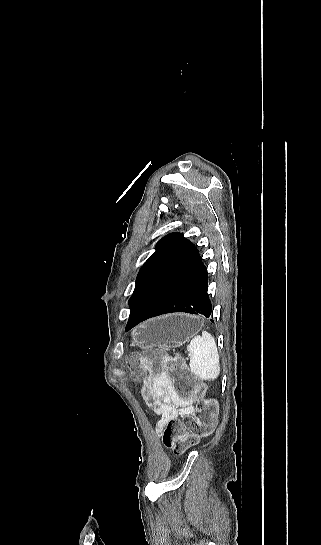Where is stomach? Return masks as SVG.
I'll return each mask as SVG.
<instances>
[{"mask_svg": "<svg viewBox=\"0 0 321 545\" xmlns=\"http://www.w3.org/2000/svg\"><path fill=\"white\" fill-rule=\"evenodd\" d=\"M202 319L174 313L164 315L151 321H145L142 325L131 331V345L140 349H164V347H180L187 343L193 335L201 331Z\"/></svg>", "mask_w": 321, "mask_h": 545, "instance_id": "0dacf381", "label": "stomach"}]
</instances>
